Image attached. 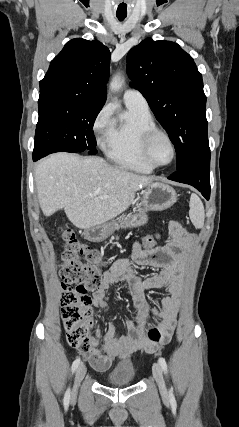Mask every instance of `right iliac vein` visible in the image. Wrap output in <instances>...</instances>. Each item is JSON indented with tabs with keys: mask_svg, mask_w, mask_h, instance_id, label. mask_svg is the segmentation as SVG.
<instances>
[{
	"mask_svg": "<svg viewBox=\"0 0 239 427\" xmlns=\"http://www.w3.org/2000/svg\"><path fill=\"white\" fill-rule=\"evenodd\" d=\"M85 374H86V367H85V365L81 364L78 367L76 374H75L74 385H73V389H72V397L73 398L77 395L79 385H80L81 381L83 380Z\"/></svg>",
	"mask_w": 239,
	"mask_h": 427,
	"instance_id": "obj_1",
	"label": "right iliac vein"
}]
</instances>
